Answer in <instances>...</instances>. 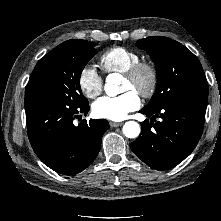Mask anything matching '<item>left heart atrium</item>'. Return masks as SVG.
Instances as JSON below:
<instances>
[{
	"mask_svg": "<svg viewBox=\"0 0 221 221\" xmlns=\"http://www.w3.org/2000/svg\"><path fill=\"white\" fill-rule=\"evenodd\" d=\"M141 105L136 91L129 90L119 96H104L94 102L93 114L98 118L120 121Z\"/></svg>",
	"mask_w": 221,
	"mask_h": 221,
	"instance_id": "39dd6f15",
	"label": "left heart atrium"
}]
</instances>
